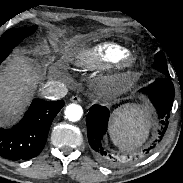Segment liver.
Segmentation results:
<instances>
[{"label": "liver", "instance_id": "obj_1", "mask_svg": "<svg viewBox=\"0 0 183 183\" xmlns=\"http://www.w3.org/2000/svg\"><path fill=\"white\" fill-rule=\"evenodd\" d=\"M39 78V70L21 55L7 63L0 73V120L9 122L24 109Z\"/></svg>", "mask_w": 183, "mask_h": 183}]
</instances>
